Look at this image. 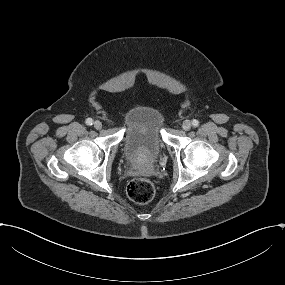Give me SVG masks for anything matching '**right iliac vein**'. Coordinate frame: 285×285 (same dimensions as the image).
<instances>
[{
    "instance_id": "obj_1",
    "label": "right iliac vein",
    "mask_w": 285,
    "mask_h": 285,
    "mask_svg": "<svg viewBox=\"0 0 285 285\" xmlns=\"http://www.w3.org/2000/svg\"><path fill=\"white\" fill-rule=\"evenodd\" d=\"M94 127H95L97 130H99V129L102 128V123L97 120V121L94 122Z\"/></svg>"
}]
</instances>
